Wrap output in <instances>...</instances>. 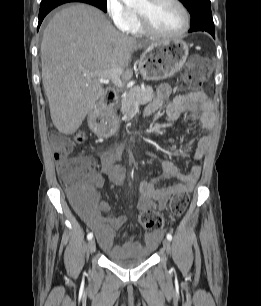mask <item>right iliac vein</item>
Here are the masks:
<instances>
[{
	"mask_svg": "<svg viewBox=\"0 0 261 306\" xmlns=\"http://www.w3.org/2000/svg\"><path fill=\"white\" fill-rule=\"evenodd\" d=\"M88 248H89V251L91 253L95 252L96 250V242H95V239H90V241L88 242Z\"/></svg>",
	"mask_w": 261,
	"mask_h": 306,
	"instance_id": "obj_1",
	"label": "right iliac vein"
}]
</instances>
